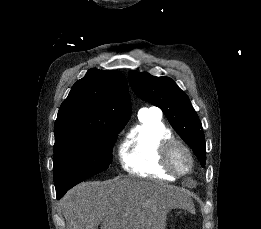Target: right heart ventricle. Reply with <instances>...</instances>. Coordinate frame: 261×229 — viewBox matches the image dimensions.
Masks as SVG:
<instances>
[{"label": "right heart ventricle", "mask_w": 261, "mask_h": 229, "mask_svg": "<svg viewBox=\"0 0 261 229\" xmlns=\"http://www.w3.org/2000/svg\"><path fill=\"white\" fill-rule=\"evenodd\" d=\"M138 115L139 125L120 147L123 168L134 175L164 173L174 177L162 162V145L173 139L174 135L164 123L161 111L153 106H144Z\"/></svg>", "instance_id": "e07e8e85"}]
</instances>
